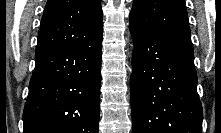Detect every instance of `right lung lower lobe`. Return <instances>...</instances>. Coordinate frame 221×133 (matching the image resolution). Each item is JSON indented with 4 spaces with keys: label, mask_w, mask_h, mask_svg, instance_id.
Masks as SVG:
<instances>
[{
    "label": "right lung lower lobe",
    "mask_w": 221,
    "mask_h": 133,
    "mask_svg": "<svg viewBox=\"0 0 221 133\" xmlns=\"http://www.w3.org/2000/svg\"><path fill=\"white\" fill-rule=\"evenodd\" d=\"M102 30L79 46L35 54L24 133H98Z\"/></svg>",
    "instance_id": "98d812e1"
}]
</instances>
